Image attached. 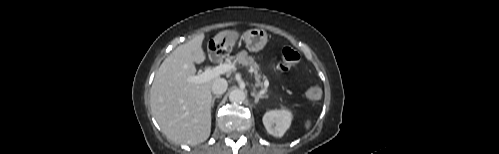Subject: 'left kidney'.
<instances>
[{
	"mask_svg": "<svg viewBox=\"0 0 499 154\" xmlns=\"http://www.w3.org/2000/svg\"><path fill=\"white\" fill-rule=\"evenodd\" d=\"M292 114L286 109L271 110L264 114L263 124L267 132L275 137H282L289 129Z\"/></svg>",
	"mask_w": 499,
	"mask_h": 154,
	"instance_id": "5707ae66",
	"label": "left kidney"
}]
</instances>
